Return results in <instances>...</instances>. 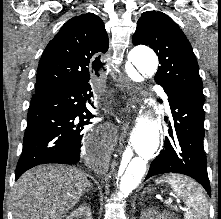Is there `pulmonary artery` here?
Listing matches in <instances>:
<instances>
[{
    "instance_id": "obj_1",
    "label": "pulmonary artery",
    "mask_w": 221,
    "mask_h": 219,
    "mask_svg": "<svg viewBox=\"0 0 221 219\" xmlns=\"http://www.w3.org/2000/svg\"><path fill=\"white\" fill-rule=\"evenodd\" d=\"M156 91L159 92V93H161V91H160L159 88H156ZM164 98H165V105H166L167 109H169V104H168V101H167L166 96H164Z\"/></svg>"
}]
</instances>
